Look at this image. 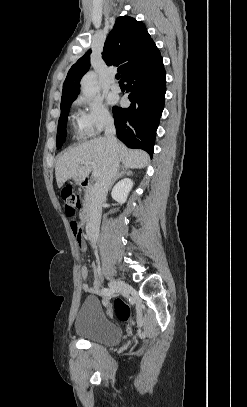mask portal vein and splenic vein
<instances>
[{
    "label": "portal vein and splenic vein",
    "instance_id": "obj_1",
    "mask_svg": "<svg viewBox=\"0 0 247 407\" xmlns=\"http://www.w3.org/2000/svg\"><path fill=\"white\" fill-rule=\"evenodd\" d=\"M83 164H84V165H90V166L93 168L92 176H93L94 178H96V177L99 176V171H98V169H97V165H96L95 162L89 161V162H85V163H83Z\"/></svg>",
    "mask_w": 247,
    "mask_h": 407
}]
</instances>
